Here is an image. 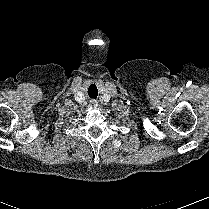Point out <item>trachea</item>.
<instances>
[{"mask_svg":"<svg viewBox=\"0 0 209 209\" xmlns=\"http://www.w3.org/2000/svg\"><path fill=\"white\" fill-rule=\"evenodd\" d=\"M88 94L91 98H96L98 95V90L95 85H91L88 90Z\"/></svg>","mask_w":209,"mask_h":209,"instance_id":"3493384b","label":"trachea"}]
</instances>
